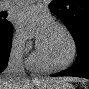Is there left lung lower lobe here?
Masks as SVG:
<instances>
[{
    "label": "left lung lower lobe",
    "mask_w": 89,
    "mask_h": 89,
    "mask_svg": "<svg viewBox=\"0 0 89 89\" xmlns=\"http://www.w3.org/2000/svg\"><path fill=\"white\" fill-rule=\"evenodd\" d=\"M75 43L78 54L73 66L51 76H76L89 79V31H83Z\"/></svg>",
    "instance_id": "0a47b994"
}]
</instances>
